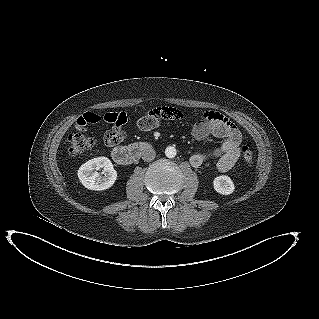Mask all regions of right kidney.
<instances>
[{
	"mask_svg": "<svg viewBox=\"0 0 319 319\" xmlns=\"http://www.w3.org/2000/svg\"><path fill=\"white\" fill-rule=\"evenodd\" d=\"M100 168L104 169L101 174L95 171ZM78 178L87 189L102 191L113 186L117 179V171L107 157H98L81 165Z\"/></svg>",
	"mask_w": 319,
	"mask_h": 319,
	"instance_id": "1",
	"label": "right kidney"
}]
</instances>
